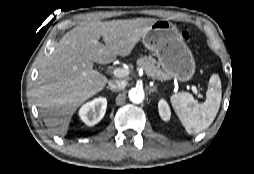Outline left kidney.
Here are the masks:
<instances>
[{
    "label": "left kidney",
    "instance_id": "1",
    "mask_svg": "<svg viewBox=\"0 0 254 174\" xmlns=\"http://www.w3.org/2000/svg\"><path fill=\"white\" fill-rule=\"evenodd\" d=\"M158 109L160 117L164 121H169L171 117V110L165 99H160L158 102Z\"/></svg>",
    "mask_w": 254,
    "mask_h": 174
}]
</instances>
